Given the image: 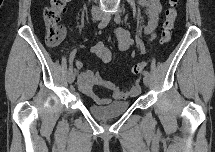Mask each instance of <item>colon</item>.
I'll return each instance as SVG.
<instances>
[{
  "instance_id": "colon-1",
  "label": "colon",
  "mask_w": 215,
  "mask_h": 152,
  "mask_svg": "<svg viewBox=\"0 0 215 152\" xmlns=\"http://www.w3.org/2000/svg\"><path fill=\"white\" fill-rule=\"evenodd\" d=\"M66 4L65 0H50L43 10V20L46 26V43L50 47L59 46L65 36L64 27L59 24L61 13ZM178 0H169L165 11V20L161 30V43H167L171 39L174 24L177 18ZM144 62H136L132 67V73L139 75L145 68Z\"/></svg>"
}]
</instances>
